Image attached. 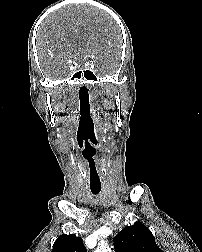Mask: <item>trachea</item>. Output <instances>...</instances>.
Instances as JSON below:
<instances>
[{
	"label": "trachea",
	"mask_w": 202,
	"mask_h": 252,
	"mask_svg": "<svg viewBox=\"0 0 202 252\" xmlns=\"http://www.w3.org/2000/svg\"><path fill=\"white\" fill-rule=\"evenodd\" d=\"M101 191V187H91V192L93 194H98Z\"/></svg>",
	"instance_id": "3493384b"
}]
</instances>
